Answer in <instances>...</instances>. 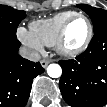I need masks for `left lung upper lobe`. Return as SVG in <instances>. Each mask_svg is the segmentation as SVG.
<instances>
[{"mask_svg":"<svg viewBox=\"0 0 107 107\" xmlns=\"http://www.w3.org/2000/svg\"><path fill=\"white\" fill-rule=\"evenodd\" d=\"M77 6L90 16L94 27V32L107 26L106 10L95 8L86 4H78Z\"/></svg>","mask_w":107,"mask_h":107,"instance_id":"1","label":"left lung upper lobe"}]
</instances>
